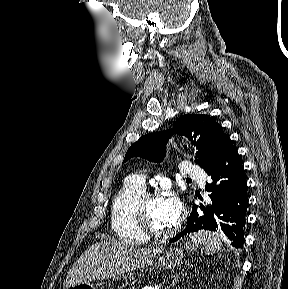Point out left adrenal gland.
<instances>
[{
  "label": "left adrenal gland",
  "mask_w": 288,
  "mask_h": 289,
  "mask_svg": "<svg viewBox=\"0 0 288 289\" xmlns=\"http://www.w3.org/2000/svg\"><path fill=\"white\" fill-rule=\"evenodd\" d=\"M179 278H180V275H179V274L173 275V281H172L171 284H169V285L167 286V288H165V289H170L172 286H174V284L177 283V281L179 280Z\"/></svg>",
  "instance_id": "a2214340"
}]
</instances>
